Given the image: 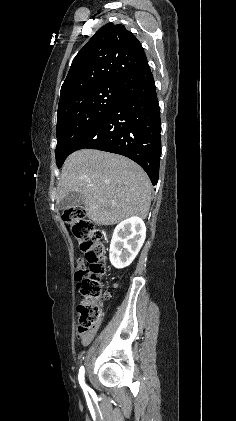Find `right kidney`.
Here are the masks:
<instances>
[{
    "instance_id": "right-kidney-1",
    "label": "right kidney",
    "mask_w": 236,
    "mask_h": 421,
    "mask_svg": "<svg viewBox=\"0 0 236 421\" xmlns=\"http://www.w3.org/2000/svg\"><path fill=\"white\" fill-rule=\"evenodd\" d=\"M145 237V223L139 217H130L117 225L109 251L111 265L116 269L128 267L138 255Z\"/></svg>"
}]
</instances>
